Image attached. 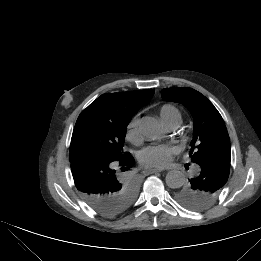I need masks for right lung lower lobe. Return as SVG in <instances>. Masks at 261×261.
Returning a JSON list of instances; mask_svg holds the SVG:
<instances>
[{
  "mask_svg": "<svg viewBox=\"0 0 261 261\" xmlns=\"http://www.w3.org/2000/svg\"><path fill=\"white\" fill-rule=\"evenodd\" d=\"M69 160L74 183L87 204L106 217H114L124 210L117 193L123 186L125 173L134 165L132 156L123 160L107 159L93 152L70 151Z\"/></svg>",
  "mask_w": 261,
  "mask_h": 261,
  "instance_id": "right-lung-lower-lobe-1",
  "label": "right lung lower lobe"
}]
</instances>
